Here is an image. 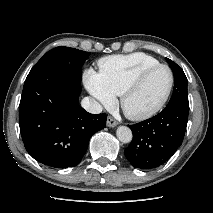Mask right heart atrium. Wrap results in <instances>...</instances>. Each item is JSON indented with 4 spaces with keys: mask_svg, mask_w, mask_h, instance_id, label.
<instances>
[{
    "mask_svg": "<svg viewBox=\"0 0 213 213\" xmlns=\"http://www.w3.org/2000/svg\"><path fill=\"white\" fill-rule=\"evenodd\" d=\"M84 83L90 94L102 105L110 106L115 96L104 85L100 73L89 69L84 74Z\"/></svg>",
    "mask_w": 213,
    "mask_h": 213,
    "instance_id": "right-heart-atrium-1",
    "label": "right heart atrium"
}]
</instances>
